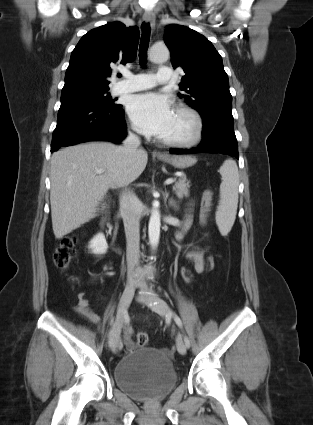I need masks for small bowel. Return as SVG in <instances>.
Listing matches in <instances>:
<instances>
[{
	"label": "small bowel",
	"mask_w": 313,
	"mask_h": 425,
	"mask_svg": "<svg viewBox=\"0 0 313 425\" xmlns=\"http://www.w3.org/2000/svg\"><path fill=\"white\" fill-rule=\"evenodd\" d=\"M212 200V193L210 191H205L202 197L203 208V219L206 217V213L209 209ZM190 226V219L186 218L182 228L176 233V240L179 242L183 239L185 233L187 232ZM186 258L193 263L194 270L198 274H202L206 271V260L204 259L203 253L200 251H188L186 253ZM75 310L89 321L98 322L100 320L99 316L95 314L89 307V301L85 292H79L77 294V305ZM133 330L129 327L126 330V340L128 344H131V336Z\"/></svg>",
	"instance_id": "small-bowel-1"
}]
</instances>
